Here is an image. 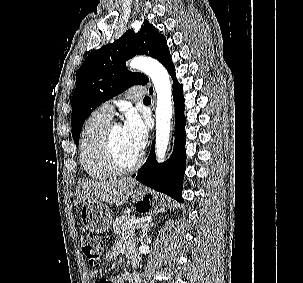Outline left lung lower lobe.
Masks as SVG:
<instances>
[{
	"label": "left lung lower lobe",
	"mask_w": 303,
	"mask_h": 283,
	"mask_svg": "<svg viewBox=\"0 0 303 283\" xmlns=\"http://www.w3.org/2000/svg\"><path fill=\"white\" fill-rule=\"evenodd\" d=\"M166 69L173 79V99L175 104L174 150L168 161L163 164H157L153 144L146 163L138 171L136 180L156 191L167 194L179 202H183L181 191L186 163L184 98L182 85L176 79L172 61L166 66Z\"/></svg>",
	"instance_id": "obj_1"
}]
</instances>
